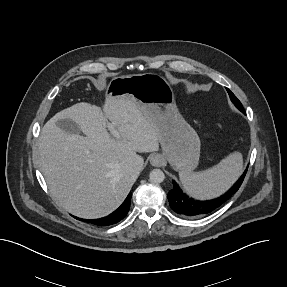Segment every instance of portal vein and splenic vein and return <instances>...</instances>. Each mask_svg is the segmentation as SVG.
I'll return each mask as SVG.
<instances>
[{"label":"portal vein and splenic vein","mask_w":287,"mask_h":287,"mask_svg":"<svg viewBox=\"0 0 287 287\" xmlns=\"http://www.w3.org/2000/svg\"><path fill=\"white\" fill-rule=\"evenodd\" d=\"M108 128L110 130V133L116 138L119 139L120 138V134L117 131V129L114 128V126L112 124L108 125Z\"/></svg>","instance_id":"obj_1"}]
</instances>
